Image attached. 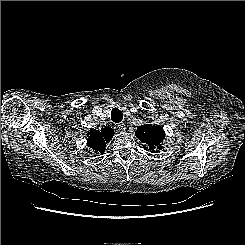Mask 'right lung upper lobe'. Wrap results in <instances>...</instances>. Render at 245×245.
<instances>
[{"instance_id": "1", "label": "right lung upper lobe", "mask_w": 245, "mask_h": 245, "mask_svg": "<svg viewBox=\"0 0 245 245\" xmlns=\"http://www.w3.org/2000/svg\"><path fill=\"white\" fill-rule=\"evenodd\" d=\"M88 135L87 145L95 152L103 153L105 151L106 143L113 137L114 132L113 129L106 128L100 131L91 130Z\"/></svg>"}]
</instances>
